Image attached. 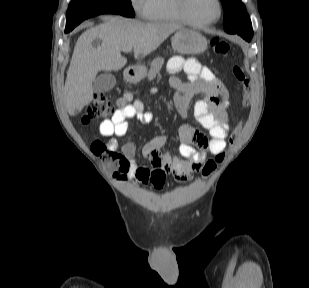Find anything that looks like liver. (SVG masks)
I'll return each mask as SVG.
<instances>
[{
    "label": "liver",
    "mask_w": 309,
    "mask_h": 288,
    "mask_svg": "<svg viewBox=\"0 0 309 288\" xmlns=\"http://www.w3.org/2000/svg\"><path fill=\"white\" fill-rule=\"evenodd\" d=\"M180 29L171 23H142L111 17L81 34L74 47L64 87V103L70 115L80 113L93 100V82L99 71H118L127 59L124 47L134 49L136 59L155 51L170 34ZM99 42L94 45V42Z\"/></svg>",
    "instance_id": "liver-1"
}]
</instances>
